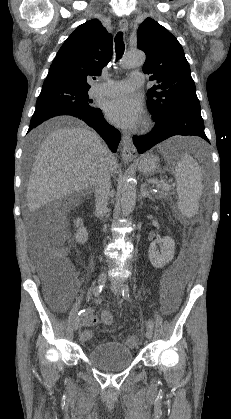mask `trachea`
Instances as JSON below:
<instances>
[{
  "instance_id": "trachea-1",
  "label": "trachea",
  "mask_w": 231,
  "mask_h": 419,
  "mask_svg": "<svg viewBox=\"0 0 231 419\" xmlns=\"http://www.w3.org/2000/svg\"><path fill=\"white\" fill-rule=\"evenodd\" d=\"M124 49L125 45L123 41V32H118L115 37V51L117 60L123 55Z\"/></svg>"
}]
</instances>
